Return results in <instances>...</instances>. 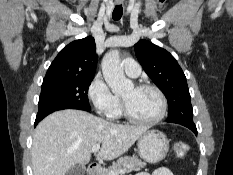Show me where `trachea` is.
<instances>
[{
    "instance_id": "1",
    "label": "trachea",
    "mask_w": 233,
    "mask_h": 175,
    "mask_svg": "<svg viewBox=\"0 0 233 175\" xmlns=\"http://www.w3.org/2000/svg\"><path fill=\"white\" fill-rule=\"evenodd\" d=\"M122 13H123V8L122 5H117L114 8L113 14H112V18L117 21L122 17Z\"/></svg>"
}]
</instances>
